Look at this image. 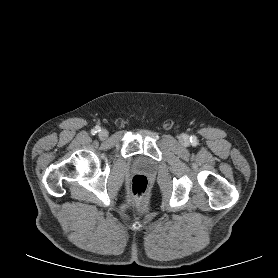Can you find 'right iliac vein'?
Wrapping results in <instances>:
<instances>
[{
  "instance_id": "1",
  "label": "right iliac vein",
  "mask_w": 278,
  "mask_h": 278,
  "mask_svg": "<svg viewBox=\"0 0 278 278\" xmlns=\"http://www.w3.org/2000/svg\"><path fill=\"white\" fill-rule=\"evenodd\" d=\"M108 131L106 129H102L99 131V137L101 139H106L108 137Z\"/></svg>"
}]
</instances>
